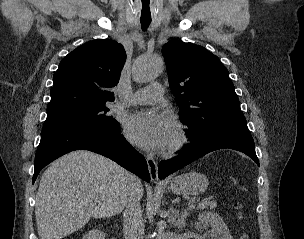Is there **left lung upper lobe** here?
I'll list each match as a JSON object with an SVG mask.
<instances>
[{"label":"left lung upper lobe","mask_w":304,"mask_h":239,"mask_svg":"<svg viewBox=\"0 0 304 239\" xmlns=\"http://www.w3.org/2000/svg\"><path fill=\"white\" fill-rule=\"evenodd\" d=\"M169 85L191 142L227 132H249L228 70L204 47L171 40L162 48Z\"/></svg>","instance_id":"5c2ea615"}]
</instances>
